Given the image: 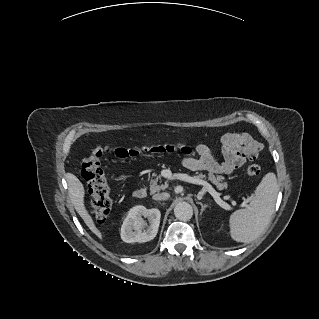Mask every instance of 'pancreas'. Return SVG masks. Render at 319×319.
<instances>
[{
    "instance_id": "cf45deb5",
    "label": "pancreas",
    "mask_w": 319,
    "mask_h": 319,
    "mask_svg": "<svg viewBox=\"0 0 319 319\" xmlns=\"http://www.w3.org/2000/svg\"><path fill=\"white\" fill-rule=\"evenodd\" d=\"M198 178H206L208 179L212 184L216 186L218 190H223L228 187L227 182L225 181L224 176L218 175L215 176L213 173H208L207 175L199 173L197 174ZM161 179V175H154L153 178L150 180V190L152 193L159 191V190H164L167 188V185L162 184L158 185V181Z\"/></svg>"
}]
</instances>
